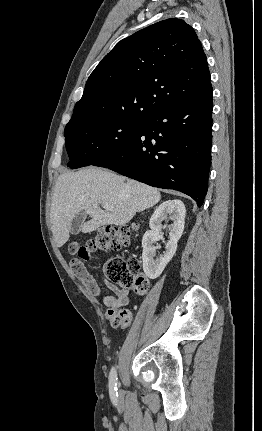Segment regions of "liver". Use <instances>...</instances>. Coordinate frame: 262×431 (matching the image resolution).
I'll list each match as a JSON object with an SVG mask.
<instances>
[{
    "mask_svg": "<svg viewBox=\"0 0 262 431\" xmlns=\"http://www.w3.org/2000/svg\"><path fill=\"white\" fill-rule=\"evenodd\" d=\"M160 199L156 188L108 170L91 166L65 172L57 179L51 202L50 221L55 243L61 247L68 241L71 222L82 210L91 217L82 226V232L89 233L104 225H125L137 212L153 207ZM102 202H107L114 210L101 209Z\"/></svg>",
    "mask_w": 262,
    "mask_h": 431,
    "instance_id": "1",
    "label": "liver"
}]
</instances>
